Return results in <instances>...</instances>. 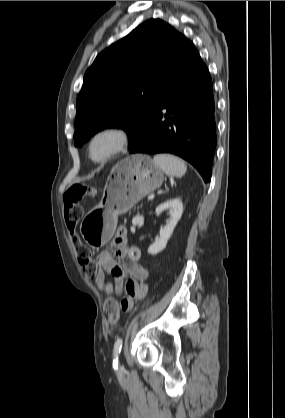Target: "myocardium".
I'll return each instance as SVG.
<instances>
[{"mask_svg": "<svg viewBox=\"0 0 285 418\" xmlns=\"http://www.w3.org/2000/svg\"><path fill=\"white\" fill-rule=\"evenodd\" d=\"M103 137H111L113 139V145L104 155L95 157L93 154V145L97 140ZM129 142V134L124 128L120 126H105L93 132L88 138L86 144L87 156L96 164L106 163L126 151Z\"/></svg>", "mask_w": 285, "mask_h": 418, "instance_id": "f54148a6", "label": "myocardium"}]
</instances>
